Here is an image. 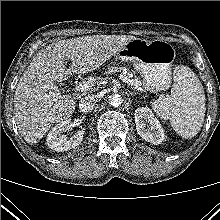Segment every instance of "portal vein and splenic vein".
I'll return each mask as SVG.
<instances>
[{
  "label": "portal vein and splenic vein",
  "instance_id": "obj_1",
  "mask_svg": "<svg viewBox=\"0 0 220 220\" xmlns=\"http://www.w3.org/2000/svg\"><path fill=\"white\" fill-rule=\"evenodd\" d=\"M119 77L123 82L133 85V81L131 79H129L123 75H120ZM93 86H94V83L92 81H83V82H80L79 84H77L75 86V89L77 91L83 92V91H88V90L92 89Z\"/></svg>",
  "mask_w": 220,
  "mask_h": 220
}]
</instances>
